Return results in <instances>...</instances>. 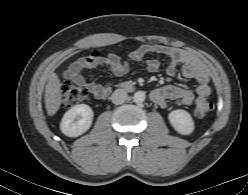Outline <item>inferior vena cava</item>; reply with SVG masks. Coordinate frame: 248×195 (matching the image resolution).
<instances>
[{"instance_id":"obj_1","label":"inferior vena cava","mask_w":248,"mask_h":195,"mask_svg":"<svg viewBox=\"0 0 248 195\" xmlns=\"http://www.w3.org/2000/svg\"><path fill=\"white\" fill-rule=\"evenodd\" d=\"M112 102L116 105H120L127 99V92L123 89H117L111 96Z\"/></svg>"}]
</instances>
